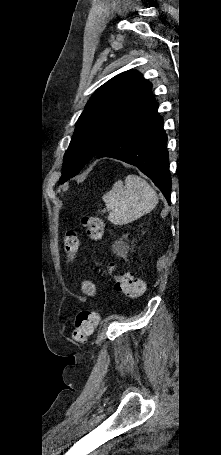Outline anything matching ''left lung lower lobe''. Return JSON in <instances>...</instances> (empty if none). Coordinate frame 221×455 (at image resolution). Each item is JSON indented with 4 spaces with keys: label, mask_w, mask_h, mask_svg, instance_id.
Returning <instances> with one entry per match:
<instances>
[{
    "label": "left lung lower lobe",
    "mask_w": 221,
    "mask_h": 455,
    "mask_svg": "<svg viewBox=\"0 0 221 455\" xmlns=\"http://www.w3.org/2000/svg\"><path fill=\"white\" fill-rule=\"evenodd\" d=\"M157 109L158 104L149 113L128 125L95 157H111L138 167L170 203L171 177L166 148L167 135Z\"/></svg>",
    "instance_id": "1"
}]
</instances>
